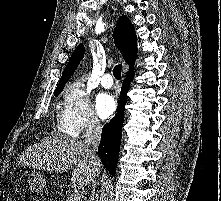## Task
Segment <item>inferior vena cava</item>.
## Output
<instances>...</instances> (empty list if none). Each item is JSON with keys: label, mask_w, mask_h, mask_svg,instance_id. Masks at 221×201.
<instances>
[{"label": "inferior vena cava", "mask_w": 221, "mask_h": 201, "mask_svg": "<svg viewBox=\"0 0 221 201\" xmlns=\"http://www.w3.org/2000/svg\"><path fill=\"white\" fill-rule=\"evenodd\" d=\"M102 127L96 116H91L83 129L84 142L89 146V156L91 159L93 179H92V196L95 195L97 180L99 174L100 161L97 156V150L101 139ZM94 200V198H93Z\"/></svg>", "instance_id": "obj_1"}]
</instances>
